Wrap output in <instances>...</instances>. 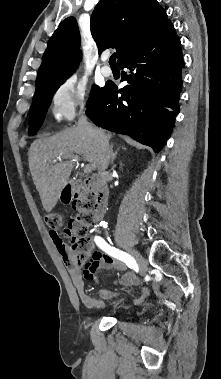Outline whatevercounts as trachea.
<instances>
[{
    "label": "trachea",
    "mask_w": 221,
    "mask_h": 379,
    "mask_svg": "<svg viewBox=\"0 0 221 379\" xmlns=\"http://www.w3.org/2000/svg\"><path fill=\"white\" fill-rule=\"evenodd\" d=\"M109 63H110V65H116V56H115V53L111 55V57L109 59Z\"/></svg>",
    "instance_id": "trachea-1"
}]
</instances>
